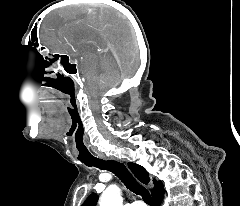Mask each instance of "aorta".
<instances>
[{
  "label": "aorta",
  "mask_w": 240,
  "mask_h": 206,
  "mask_svg": "<svg viewBox=\"0 0 240 206\" xmlns=\"http://www.w3.org/2000/svg\"><path fill=\"white\" fill-rule=\"evenodd\" d=\"M121 191L117 185H110L100 197V206H122Z\"/></svg>",
  "instance_id": "1"
}]
</instances>
